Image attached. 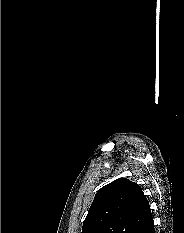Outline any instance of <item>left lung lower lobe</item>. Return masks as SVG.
I'll list each match as a JSON object with an SVG mask.
<instances>
[{"label":"left lung lower lobe","instance_id":"obj_1","mask_svg":"<svg viewBox=\"0 0 184 233\" xmlns=\"http://www.w3.org/2000/svg\"><path fill=\"white\" fill-rule=\"evenodd\" d=\"M143 233H155V229H154V222H153V218L151 215V218L149 220L148 225L146 226L145 230Z\"/></svg>","mask_w":184,"mask_h":233}]
</instances>
